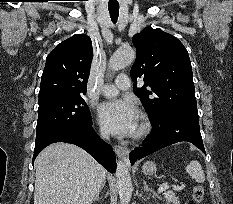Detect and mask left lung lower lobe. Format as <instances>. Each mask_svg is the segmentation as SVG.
<instances>
[{
    "instance_id": "1",
    "label": "left lung lower lobe",
    "mask_w": 233,
    "mask_h": 204,
    "mask_svg": "<svg viewBox=\"0 0 233 204\" xmlns=\"http://www.w3.org/2000/svg\"><path fill=\"white\" fill-rule=\"evenodd\" d=\"M152 132L140 148L129 154L131 164L168 145L187 141L205 153L199 128L198 115L169 113L151 119Z\"/></svg>"
}]
</instances>
